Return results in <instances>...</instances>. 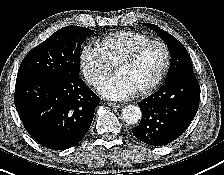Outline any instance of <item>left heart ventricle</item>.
I'll use <instances>...</instances> for the list:
<instances>
[{
  "label": "left heart ventricle",
  "mask_w": 224,
  "mask_h": 175,
  "mask_svg": "<svg viewBox=\"0 0 224 175\" xmlns=\"http://www.w3.org/2000/svg\"><path fill=\"white\" fill-rule=\"evenodd\" d=\"M163 62V49L158 45H152L145 49L133 63L118 67L116 73L137 91L155 79Z\"/></svg>",
  "instance_id": "b2bd125f"
}]
</instances>
